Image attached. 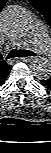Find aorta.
<instances>
[{"label": "aorta", "mask_w": 51, "mask_h": 153, "mask_svg": "<svg viewBox=\"0 0 51 153\" xmlns=\"http://www.w3.org/2000/svg\"><path fill=\"white\" fill-rule=\"evenodd\" d=\"M1 25L6 35L22 36L30 30L32 18L24 8L12 6L2 11ZM30 69L38 79L44 80L51 76V62L45 57H35Z\"/></svg>", "instance_id": "aorta-1"}]
</instances>
